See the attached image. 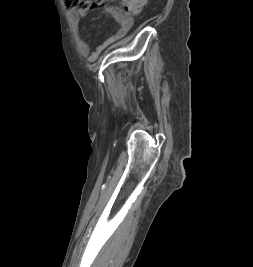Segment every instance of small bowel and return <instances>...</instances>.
<instances>
[{
  "label": "small bowel",
  "instance_id": "obj_1",
  "mask_svg": "<svg viewBox=\"0 0 253 267\" xmlns=\"http://www.w3.org/2000/svg\"><path fill=\"white\" fill-rule=\"evenodd\" d=\"M107 13L111 15L117 22V29L108 37L102 44H100L94 51L90 49L89 44L81 38L79 34V16L76 13H70V21L74 31L77 34V47L79 53L86 57L88 61H95L99 55L112 44L120 41L131 29L133 25V19L131 16L122 13L116 7H108Z\"/></svg>",
  "mask_w": 253,
  "mask_h": 267
}]
</instances>
